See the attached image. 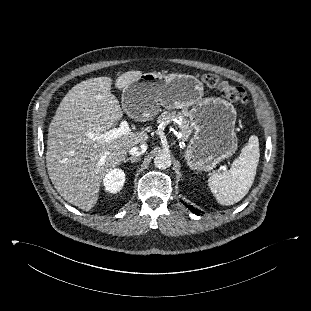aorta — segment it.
I'll return each mask as SVG.
<instances>
[{"label": "aorta", "mask_w": 311, "mask_h": 311, "mask_svg": "<svg viewBox=\"0 0 311 311\" xmlns=\"http://www.w3.org/2000/svg\"><path fill=\"white\" fill-rule=\"evenodd\" d=\"M154 164L159 169H166L171 166V156L166 152L158 153L154 158Z\"/></svg>", "instance_id": "obj_1"}]
</instances>
